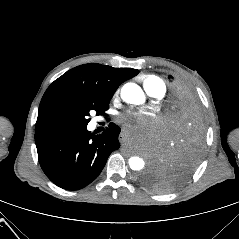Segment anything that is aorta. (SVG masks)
Here are the masks:
<instances>
[{
  "label": "aorta",
  "mask_w": 239,
  "mask_h": 239,
  "mask_svg": "<svg viewBox=\"0 0 239 239\" xmlns=\"http://www.w3.org/2000/svg\"><path fill=\"white\" fill-rule=\"evenodd\" d=\"M121 98L130 104H142L145 102V95L140 86L135 83H126L121 90ZM129 166L132 170L140 171L144 168L145 162L138 156L129 158Z\"/></svg>",
  "instance_id": "obj_1"
}]
</instances>
